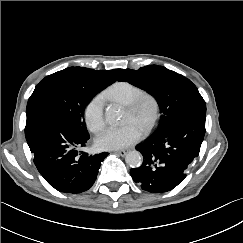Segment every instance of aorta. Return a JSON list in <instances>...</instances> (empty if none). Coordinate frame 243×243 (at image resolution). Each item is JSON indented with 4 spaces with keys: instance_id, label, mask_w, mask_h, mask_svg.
I'll return each instance as SVG.
<instances>
[{
    "instance_id": "obj_1",
    "label": "aorta",
    "mask_w": 243,
    "mask_h": 243,
    "mask_svg": "<svg viewBox=\"0 0 243 243\" xmlns=\"http://www.w3.org/2000/svg\"><path fill=\"white\" fill-rule=\"evenodd\" d=\"M122 110L118 106H109L105 112V120L109 124H118L122 118ZM126 163L132 168H138L142 164V155L134 150L126 154Z\"/></svg>"
}]
</instances>
